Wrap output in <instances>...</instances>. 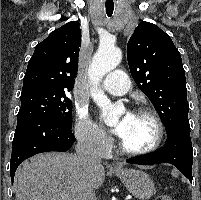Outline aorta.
I'll list each match as a JSON object with an SVG mask.
<instances>
[{
	"label": "aorta",
	"instance_id": "aorta-1",
	"mask_svg": "<svg viewBox=\"0 0 201 200\" xmlns=\"http://www.w3.org/2000/svg\"><path fill=\"white\" fill-rule=\"evenodd\" d=\"M122 59V52L112 43H101L94 54L89 68V79L94 86L91 96L96 104L108 112L107 122L113 123L117 120V113L107 96L97 88L103 77L117 67Z\"/></svg>",
	"mask_w": 201,
	"mask_h": 200
}]
</instances>
